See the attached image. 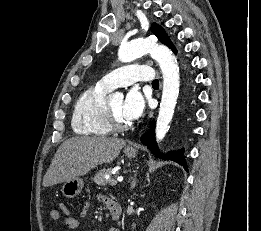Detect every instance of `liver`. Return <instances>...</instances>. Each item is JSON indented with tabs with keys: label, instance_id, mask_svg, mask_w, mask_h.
Wrapping results in <instances>:
<instances>
[{
	"label": "liver",
	"instance_id": "6515ba94",
	"mask_svg": "<svg viewBox=\"0 0 261 231\" xmlns=\"http://www.w3.org/2000/svg\"><path fill=\"white\" fill-rule=\"evenodd\" d=\"M126 142L105 136H76L64 141L58 148L44 178L49 187L87 174L92 168L112 162Z\"/></svg>",
	"mask_w": 261,
	"mask_h": 231
}]
</instances>
